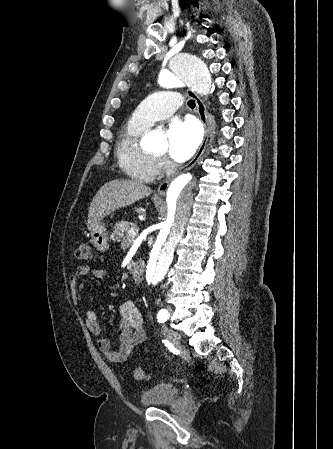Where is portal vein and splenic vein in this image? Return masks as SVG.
<instances>
[{
  "instance_id": "portal-vein-and-splenic-vein-1",
  "label": "portal vein and splenic vein",
  "mask_w": 333,
  "mask_h": 449,
  "mask_svg": "<svg viewBox=\"0 0 333 449\" xmlns=\"http://www.w3.org/2000/svg\"><path fill=\"white\" fill-rule=\"evenodd\" d=\"M129 235H131V236H136V234H137V231L134 229V228H131L130 230H129Z\"/></svg>"
}]
</instances>
